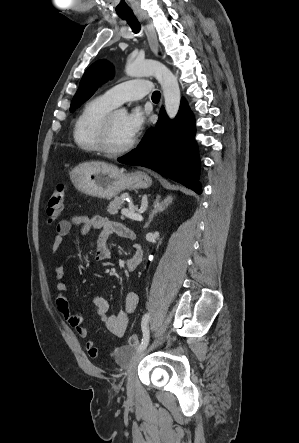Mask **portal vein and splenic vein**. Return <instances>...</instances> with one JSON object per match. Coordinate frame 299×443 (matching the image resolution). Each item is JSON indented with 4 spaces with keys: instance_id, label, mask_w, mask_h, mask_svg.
Returning <instances> with one entry per match:
<instances>
[{
    "instance_id": "obj_1",
    "label": "portal vein and splenic vein",
    "mask_w": 299,
    "mask_h": 443,
    "mask_svg": "<svg viewBox=\"0 0 299 443\" xmlns=\"http://www.w3.org/2000/svg\"><path fill=\"white\" fill-rule=\"evenodd\" d=\"M146 210V208H141L138 212H135V210L130 207L129 209L124 208L121 210V214L132 219V220H136V221H142V216L140 215L141 213H143Z\"/></svg>"
}]
</instances>
